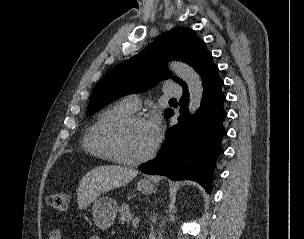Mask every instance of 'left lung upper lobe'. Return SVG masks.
<instances>
[{"mask_svg": "<svg viewBox=\"0 0 304 239\" xmlns=\"http://www.w3.org/2000/svg\"><path fill=\"white\" fill-rule=\"evenodd\" d=\"M211 53L205 43L188 27H177L159 35L142 52L113 67L96 85L87 108L92 115L113 100L124 95L141 92L160 78L170 77L166 71L168 60H179L199 73ZM182 88L183 80L175 77ZM171 109L165 110V116Z\"/></svg>", "mask_w": 304, "mask_h": 239, "instance_id": "5c2ea615", "label": "left lung upper lobe"}]
</instances>
